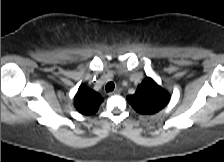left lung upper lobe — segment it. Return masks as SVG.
Returning a JSON list of instances; mask_svg holds the SVG:
<instances>
[{
  "mask_svg": "<svg viewBox=\"0 0 224 162\" xmlns=\"http://www.w3.org/2000/svg\"><path fill=\"white\" fill-rule=\"evenodd\" d=\"M127 100L138 113L150 115L164 108L170 96L152 78L147 77L134 95L127 96Z\"/></svg>",
  "mask_w": 224,
  "mask_h": 162,
  "instance_id": "left-lung-upper-lobe-1",
  "label": "left lung upper lobe"
}]
</instances>
